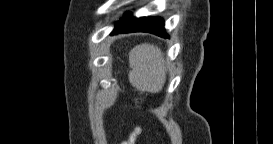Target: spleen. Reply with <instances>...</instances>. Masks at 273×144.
Wrapping results in <instances>:
<instances>
[{
    "instance_id": "obj_1",
    "label": "spleen",
    "mask_w": 273,
    "mask_h": 144,
    "mask_svg": "<svg viewBox=\"0 0 273 144\" xmlns=\"http://www.w3.org/2000/svg\"><path fill=\"white\" fill-rule=\"evenodd\" d=\"M129 81L139 91L157 93L166 81L162 51L155 45L143 43L129 52Z\"/></svg>"
}]
</instances>
